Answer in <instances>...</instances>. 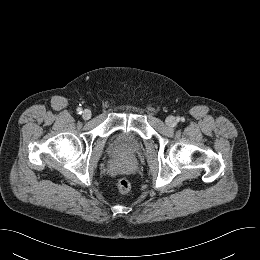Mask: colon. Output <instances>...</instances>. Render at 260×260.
Returning a JSON list of instances; mask_svg holds the SVG:
<instances>
[{
	"instance_id": "1",
	"label": "colon",
	"mask_w": 260,
	"mask_h": 260,
	"mask_svg": "<svg viewBox=\"0 0 260 260\" xmlns=\"http://www.w3.org/2000/svg\"><path fill=\"white\" fill-rule=\"evenodd\" d=\"M116 188L120 194H127L131 190V184L126 178H120L116 183Z\"/></svg>"
}]
</instances>
